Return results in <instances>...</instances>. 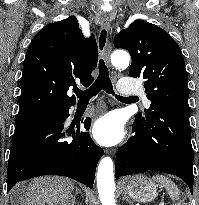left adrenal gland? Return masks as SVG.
<instances>
[{"instance_id": "obj_1", "label": "left adrenal gland", "mask_w": 199, "mask_h": 205, "mask_svg": "<svg viewBox=\"0 0 199 205\" xmlns=\"http://www.w3.org/2000/svg\"><path fill=\"white\" fill-rule=\"evenodd\" d=\"M123 200H126L130 205H133L131 200L124 194Z\"/></svg>"}]
</instances>
